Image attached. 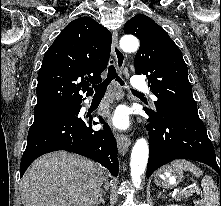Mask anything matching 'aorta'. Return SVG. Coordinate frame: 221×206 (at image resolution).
Listing matches in <instances>:
<instances>
[{
  "label": "aorta",
  "mask_w": 221,
  "mask_h": 206,
  "mask_svg": "<svg viewBox=\"0 0 221 206\" xmlns=\"http://www.w3.org/2000/svg\"><path fill=\"white\" fill-rule=\"evenodd\" d=\"M120 47L125 52H135L139 48V41L133 35H124L120 39ZM148 143L146 139L140 138L136 141L131 152V178L133 185L139 188L141 176L145 172L148 162Z\"/></svg>",
  "instance_id": "aorta-1"
}]
</instances>
